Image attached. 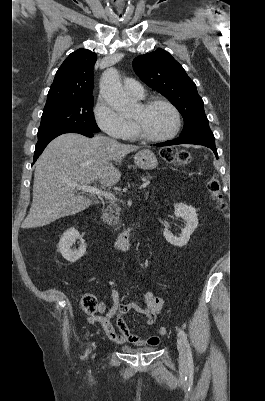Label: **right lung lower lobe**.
<instances>
[{"instance_id":"obj_1","label":"right lung lower lobe","mask_w":265,"mask_h":401,"mask_svg":"<svg viewBox=\"0 0 265 401\" xmlns=\"http://www.w3.org/2000/svg\"><path fill=\"white\" fill-rule=\"evenodd\" d=\"M64 133H79L87 137H93L94 133L91 132H85V131H80V130H70V129H56L53 130L44 136L38 137V142L36 144L35 148V153H34V161L37 160V158L40 156V154L43 152L47 144L56 138L57 136L64 134Z\"/></svg>"}]
</instances>
